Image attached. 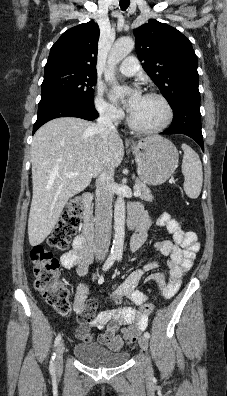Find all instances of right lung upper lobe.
Instances as JSON below:
<instances>
[{"label": "right lung upper lobe", "instance_id": "cb5924a9", "mask_svg": "<svg viewBox=\"0 0 227 396\" xmlns=\"http://www.w3.org/2000/svg\"><path fill=\"white\" fill-rule=\"evenodd\" d=\"M99 27L94 21L64 32L52 46L45 71L71 70L95 74Z\"/></svg>", "mask_w": 227, "mask_h": 396}]
</instances>
